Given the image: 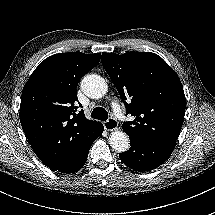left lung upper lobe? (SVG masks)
<instances>
[{
    "label": "left lung upper lobe",
    "instance_id": "1",
    "mask_svg": "<svg viewBox=\"0 0 215 215\" xmlns=\"http://www.w3.org/2000/svg\"><path fill=\"white\" fill-rule=\"evenodd\" d=\"M101 61L126 107L135 117L122 128L132 139L176 141L183 124L186 99L175 71L157 54L102 53Z\"/></svg>",
    "mask_w": 215,
    "mask_h": 215
}]
</instances>
